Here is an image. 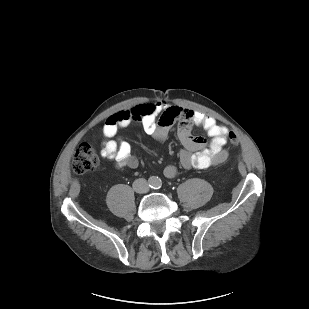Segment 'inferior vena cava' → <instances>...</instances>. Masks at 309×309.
I'll return each mask as SVG.
<instances>
[{
  "mask_svg": "<svg viewBox=\"0 0 309 309\" xmlns=\"http://www.w3.org/2000/svg\"><path fill=\"white\" fill-rule=\"evenodd\" d=\"M133 189L137 193H147L149 191L148 182L144 178L136 179L133 182Z\"/></svg>",
  "mask_w": 309,
  "mask_h": 309,
  "instance_id": "inferior-vena-cava-1",
  "label": "inferior vena cava"
}]
</instances>
